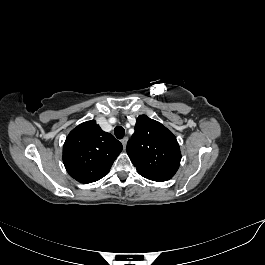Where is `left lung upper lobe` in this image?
<instances>
[{
  "instance_id": "left-lung-upper-lobe-1",
  "label": "left lung upper lobe",
  "mask_w": 265,
  "mask_h": 265,
  "mask_svg": "<svg viewBox=\"0 0 265 265\" xmlns=\"http://www.w3.org/2000/svg\"><path fill=\"white\" fill-rule=\"evenodd\" d=\"M127 154L141 176L158 182L171 179L181 161L180 147L173 133L146 115L136 120Z\"/></svg>"
}]
</instances>
